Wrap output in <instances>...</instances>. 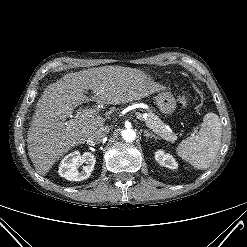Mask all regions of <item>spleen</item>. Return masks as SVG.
Listing matches in <instances>:
<instances>
[{
  "instance_id": "spleen-1",
  "label": "spleen",
  "mask_w": 247,
  "mask_h": 247,
  "mask_svg": "<svg viewBox=\"0 0 247 247\" xmlns=\"http://www.w3.org/2000/svg\"><path fill=\"white\" fill-rule=\"evenodd\" d=\"M221 134L218 115L213 112L207 113L198 134L184 139L176 148V153L195 168L207 169L218 153Z\"/></svg>"
}]
</instances>
